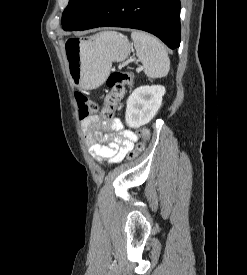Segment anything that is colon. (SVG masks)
I'll list each match as a JSON object with an SVG mask.
<instances>
[{"label": "colon", "instance_id": "obj_1", "mask_svg": "<svg viewBox=\"0 0 247 275\" xmlns=\"http://www.w3.org/2000/svg\"><path fill=\"white\" fill-rule=\"evenodd\" d=\"M133 75L124 70H116L109 74L106 85L109 88L104 99V106L102 114L105 118L110 119L113 117L114 110L119 105L125 93V86L132 84ZM78 105V115L81 120L88 118L98 111V105L82 93L75 95ZM140 142L137 143L135 149L129 153V159L137 157L145 148L147 141L150 138L149 130L140 128L137 130Z\"/></svg>", "mask_w": 247, "mask_h": 275}]
</instances>
